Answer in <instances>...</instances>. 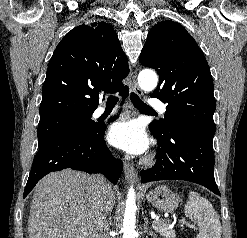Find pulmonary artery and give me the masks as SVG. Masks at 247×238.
<instances>
[{
    "label": "pulmonary artery",
    "instance_id": "obj_1",
    "mask_svg": "<svg viewBox=\"0 0 247 238\" xmlns=\"http://www.w3.org/2000/svg\"><path fill=\"white\" fill-rule=\"evenodd\" d=\"M149 105H150V107H151L152 109H156V110H158V111H159L160 113H162V114H164V113L166 112V107H165V105H164L161 101H159V100H157V99H151V100L149 101ZM104 112H105V108H104V107H99V108L96 110L95 114H96V116H100V115H102Z\"/></svg>",
    "mask_w": 247,
    "mask_h": 238
}]
</instances>
